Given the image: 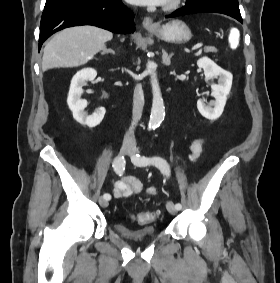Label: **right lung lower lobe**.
Masks as SVG:
<instances>
[{
	"mask_svg": "<svg viewBox=\"0 0 280 283\" xmlns=\"http://www.w3.org/2000/svg\"><path fill=\"white\" fill-rule=\"evenodd\" d=\"M134 14L121 0H74L45 7L40 24L39 49L57 31L93 25L116 33H133Z\"/></svg>",
	"mask_w": 280,
	"mask_h": 283,
	"instance_id": "obj_1",
	"label": "right lung lower lobe"
}]
</instances>
